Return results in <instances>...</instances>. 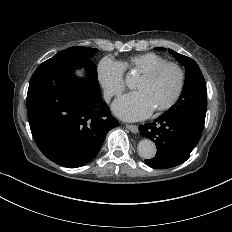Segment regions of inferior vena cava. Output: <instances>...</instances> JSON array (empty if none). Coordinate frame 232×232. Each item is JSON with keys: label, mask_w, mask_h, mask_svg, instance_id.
I'll return each instance as SVG.
<instances>
[{"label": "inferior vena cava", "mask_w": 232, "mask_h": 232, "mask_svg": "<svg viewBox=\"0 0 232 232\" xmlns=\"http://www.w3.org/2000/svg\"><path fill=\"white\" fill-rule=\"evenodd\" d=\"M104 97H105L106 100H108L109 99V93H104Z\"/></svg>", "instance_id": "inferior-vena-cava-1"}]
</instances>
